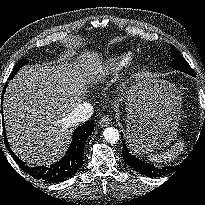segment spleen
I'll use <instances>...</instances> for the list:
<instances>
[{
  "mask_svg": "<svg viewBox=\"0 0 205 205\" xmlns=\"http://www.w3.org/2000/svg\"><path fill=\"white\" fill-rule=\"evenodd\" d=\"M182 150L183 144L177 143L173 145L170 149H168L166 152L149 155V160L158 163L169 162L171 160H174Z\"/></svg>",
  "mask_w": 205,
  "mask_h": 205,
  "instance_id": "obj_1",
  "label": "spleen"
}]
</instances>
